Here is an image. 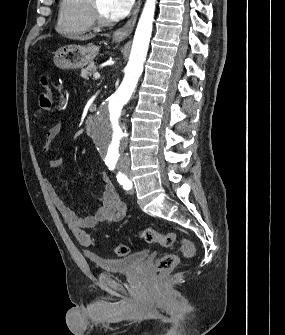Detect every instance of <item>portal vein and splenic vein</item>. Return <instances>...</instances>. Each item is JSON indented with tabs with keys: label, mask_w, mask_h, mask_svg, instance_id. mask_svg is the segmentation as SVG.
Masks as SVG:
<instances>
[{
	"label": "portal vein and splenic vein",
	"mask_w": 285,
	"mask_h": 335,
	"mask_svg": "<svg viewBox=\"0 0 285 335\" xmlns=\"http://www.w3.org/2000/svg\"><path fill=\"white\" fill-rule=\"evenodd\" d=\"M94 78H100V74H98V72H95V74H93Z\"/></svg>",
	"instance_id": "portal-vein-and-splenic-vein-1"
}]
</instances>
